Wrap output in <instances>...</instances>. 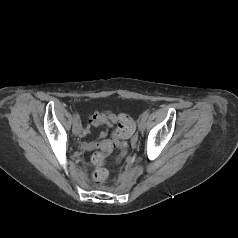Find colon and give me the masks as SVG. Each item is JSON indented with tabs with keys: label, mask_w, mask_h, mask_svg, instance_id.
I'll use <instances>...</instances> for the list:
<instances>
[{
	"label": "colon",
	"mask_w": 238,
	"mask_h": 238,
	"mask_svg": "<svg viewBox=\"0 0 238 238\" xmlns=\"http://www.w3.org/2000/svg\"><path fill=\"white\" fill-rule=\"evenodd\" d=\"M134 130L135 125L133 120L126 115H122L119 119L117 129L113 134L112 141H109L100 152H97L92 156V162L96 165L92 174L95 183H102L108 177V171L104 167L105 154L111 151L112 148H118L124 151L126 148V142L124 140L130 137Z\"/></svg>",
	"instance_id": "5ec220e1"
}]
</instances>
